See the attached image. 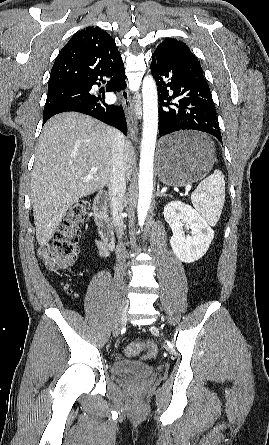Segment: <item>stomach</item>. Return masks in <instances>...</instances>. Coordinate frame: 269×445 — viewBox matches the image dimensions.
<instances>
[{"mask_svg":"<svg viewBox=\"0 0 269 445\" xmlns=\"http://www.w3.org/2000/svg\"><path fill=\"white\" fill-rule=\"evenodd\" d=\"M215 158L214 144L205 135L194 131L177 132L161 142L158 177L167 186H186L204 177Z\"/></svg>","mask_w":269,"mask_h":445,"instance_id":"1","label":"stomach"}]
</instances>
